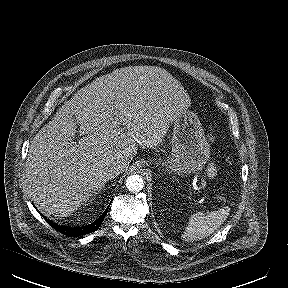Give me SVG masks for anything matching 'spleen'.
<instances>
[{"label":"spleen","mask_w":288,"mask_h":288,"mask_svg":"<svg viewBox=\"0 0 288 288\" xmlns=\"http://www.w3.org/2000/svg\"><path fill=\"white\" fill-rule=\"evenodd\" d=\"M228 214L229 210L226 208L210 213L196 212L189 218L182 239L185 242H194L209 236L223 224Z\"/></svg>","instance_id":"spleen-1"}]
</instances>
